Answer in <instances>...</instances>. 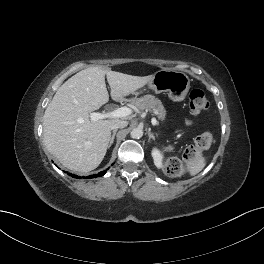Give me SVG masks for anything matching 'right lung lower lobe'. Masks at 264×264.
<instances>
[{"mask_svg":"<svg viewBox=\"0 0 264 264\" xmlns=\"http://www.w3.org/2000/svg\"><path fill=\"white\" fill-rule=\"evenodd\" d=\"M106 173V170L105 171H101V172H99L97 175L96 174H94V175H90V176H88V177H82V178H95V177H98V176H103L104 174ZM70 176H72V177H74V178H81L80 176H77V175H74V174H70V173H68Z\"/></svg>","mask_w":264,"mask_h":264,"instance_id":"right-lung-lower-lobe-1","label":"right lung lower lobe"}]
</instances>
